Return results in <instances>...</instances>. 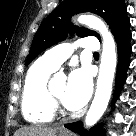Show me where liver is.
I'll return each instance as SVG.
<instances>
[{
	"mask_svg": "<svg viewBox=\"0 0 136 136\" xmlns=\"http://www.w3.org/2000/svg\"><path fill=\"white\" fill-rule=\"evenodd\" d=\"M55 128L24 127L16 131L14 136H56Z\"/></svg>",
	"mask_w": 136,
	"mask_h": 136,
	"instance_id": "6515ba94",
	"label": "liver"
}]
</instances>
